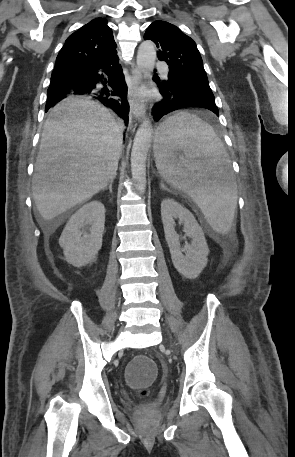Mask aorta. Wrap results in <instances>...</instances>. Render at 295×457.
I'll list each match as a JSON object with an SVG mask.
<instances>
[{
    "label": "aorta",
    "instance_id": "1",
    "mask_svg": "<svg viewBox=\"0 0 295 457\" xmlns=\"http://www.w3.org/2000/svg\"><path fill=\"white\" fill-rule=\"evenodd\" d=\"M156 61L155 45L152 41L141 43L137 53V67L145 75H150ZM153 136V127L150 118H146L140 125L134 138L131 151V172L135 188L139 193L146 189V159Z\"/></svg>",
    "mask_w": 295,
    "mask_h": 457
}]
</instances>
